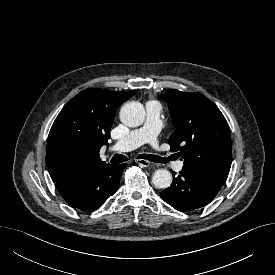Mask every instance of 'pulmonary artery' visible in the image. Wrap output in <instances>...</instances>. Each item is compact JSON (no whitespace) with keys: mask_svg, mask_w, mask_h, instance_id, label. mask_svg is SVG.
I'll list each match as a JSON object with an SVG mask.
<instances>
[{"mask_svg":"<svg viewBox=\"0 0 275 275\" xmlns=\"http://www.w3.org/2000/svg\"><path fill=\"white\" fill-rule=\"evenodd\" d=\"M162 107L157 101H148L146 103V121L140 128L130 131L126 136L120 139L111 148L112 151L127 152L133 150L143 144H149L151 146L157 145V135L161 128V116ZM184 162L182 160L173 164L175 171L182 170Z\"/></svg>","mask_w":275,"mask_h":275,"instance_id":"pulmonary-artery-1","label":"pulmonary artery"}]
</instances>
